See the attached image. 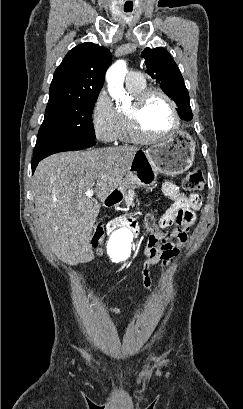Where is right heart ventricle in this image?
<instances>
[{"instance_id":"right-heart-ventricle-1","label":"right heart ventricle","mask_w":243,"mask_h":409,"mask_svg":"<svg viewBox=\"0 0 243 409\" xmlns=\"http://www.w3.org/2000/svg\"><path fill=\"white\" fill-rule=\"evenodd\" d=\"M127 89L133 96H135L145 89V82L141 85H135V86L127 85ZM119 115H120V133H119L118 140L126 141V142L132 141L133 138L131 137V134L128 130L125 116L123 113H119Z\"/></svg>"}]
</instances>
